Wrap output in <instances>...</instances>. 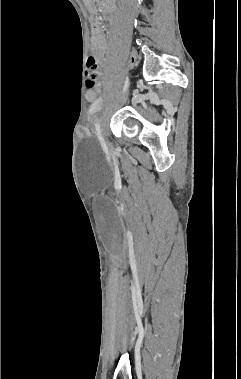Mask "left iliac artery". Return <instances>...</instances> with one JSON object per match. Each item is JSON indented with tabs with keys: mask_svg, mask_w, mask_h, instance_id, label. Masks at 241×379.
Listing matches in <instances>:
<instances>
[{
	"mask_svg": "<svg viewBox=\"0 0 241 379\" xmlns=\"http://www.w3.org/2000/svg\"><path fill=\"white\" fill-rule=\"evenodd\" d=\"M128 85H129V78H128V76H126L123 92H125L127 90ZM95 129H96V134L98 136V139L100 140L102 145H105V141H104V138H103L102 133H101L100 119L96 122Z\"/></svg>",
	"mask_w": 241,
	"mask_h": 379,
	"instance_id": "left-iliac-artery-1",
	"label": "left iliac artery"
}]
</instances>
